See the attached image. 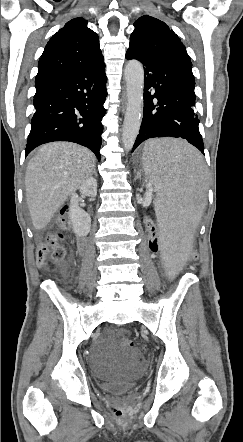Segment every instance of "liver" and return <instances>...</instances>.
I'll return each mask as SVG.
<instances>
[{"mask_svg": "<svg viewBox=\"0 0 243 442\" xmlns=\"http://www.w3.org/2000/svg\"><path fill=\"white\" fill-rule=\"evenodd\" d=\"M95 156L75 143L53 142L41 146L29 161L25 189L33 226L42 230L61 205L93 173Z\"/></svg>", "mask_w": 243, "mask_h": 442, "instance_id": "liver-1", "label": "liver"}]
</instances>
